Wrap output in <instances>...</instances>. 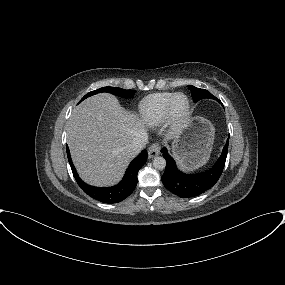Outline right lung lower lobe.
<instances>
[{"label": "right lung lower lobe", "instance_id": "1", "mask_svg": "<svg viewBox=\"0 0 285 285\" xmlns=\"http://www.w3.org/2000/svg\"><path fill=\"white\" fill-rule=\"evenodd\" d=\"M66 149L73 175L80 188L93 199L109 204L121 202L134 191L137 185L138 171L147 161V151L143 150L140 155L130 163L120 183L113 187H94L80 179L72 163L68 146H66Z\"/></svg>", "mask_w": 285, "mask_h": 285}]
</instances>
